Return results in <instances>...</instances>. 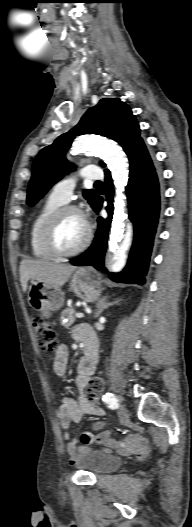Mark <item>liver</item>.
I'll return each mask as SVG.
<instances>
[{"label": "liver", "mask_w": 192, "mask_h": 527, "mask_svg": "<svg viewBox=\"0 0 192 527\" xmlns=\"http://www.w3.org/2000/svg\"><path fill=\"white\" fill-rule=\"evenodd\" d=\"M75 266L47 260L23 259L20 263V282L23 292L27 291L28 281L37 280L52 288L60 289L70 278Z\"/></svg>", "instance_id": "1"}]
</instances>
